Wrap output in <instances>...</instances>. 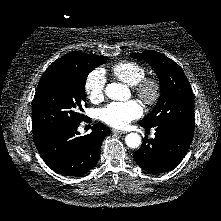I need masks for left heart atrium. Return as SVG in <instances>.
Here are the masks:
<instances>
[{
  "instance_id": "39dd6f15",
  "label": "left heart atrium",
  "mask_w": 221,
  "mask_h": 221,
  "mask_svg": "<svg viewBox=\"0 0 221 221\" xmlns=\"http://www.w3.org/2000/svg\"><path fill=\"white\" fill-rule=\"evenodd\" d=\"M142 113L141 105L136 100H129L109 103L100 110L99 116L105 124L115 128H123L139 118Z\"/></svg>"
}]
</instances>
